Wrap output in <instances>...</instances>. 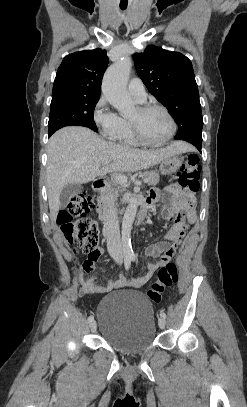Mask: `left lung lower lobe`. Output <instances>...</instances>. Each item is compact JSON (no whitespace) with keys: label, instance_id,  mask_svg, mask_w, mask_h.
Wrapping results in <instances>:
<instances>
[{"label":"left lung lower lobe","instance_id":"1","mask_svg":"<svg viewBox=\"0 0 247 407\" xmlns=\"http://www.w3.org/2000/svg\"><path fill=\"white\" fill-rule=\"evenodd\" d=\"M201 132L202 131H192V132L182 133L180 135H176L175 139L187 141V142L193 144L201 152V146H202Z\"/></svg>","mask_w":247,"mask_h":407}]
</instances>
